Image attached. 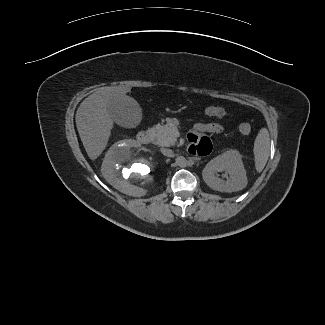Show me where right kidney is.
I'll list each match as a JSON object with an SVG mask.
<instances>
[{
    "label": "right kidney",
    "instance_id": "1",
    "mask_svg": "<svg viewBox=\"0 0 325 325\" xmlns=\"http://www.w3.org/2000/svg\"><path fill=\"white\" fill-rule=\"evenodd\" d=\"M139 149L140 144L135 140L119 141L108 150L101 167L102 175L109 184L134 197L146 195L155 181L151 172L154 166Z\"/></svg>",
    "mask_w": 325,
    "mask_h": 325
}]
</instances>
